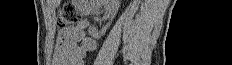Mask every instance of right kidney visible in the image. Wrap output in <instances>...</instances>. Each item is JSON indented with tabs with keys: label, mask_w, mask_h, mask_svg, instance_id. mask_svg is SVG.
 Instances as JSON below:
<instances>
[{
	"label": "right kidney",
	"mask_w": 232,
	"mask_h": 65,
	"mask_svg": "<svg viewBox=\"0 0 232 65\" xmlns=\"http://www.w3.org/2000/svg\"><path fill=\"white\" fill-rule=\"evenodd\" d=\"M101 5L108 6L107 10L110 13L111 21H112L116 15L117 11H118L119 6H120L119 0H101L99 5L91 7V12L93 14H95ZM109 26H110V22L105 27H103V29L100 32L96 31V29L94 27H92L89 29V34L93 38L99 39L102 35L105 34V32L109 28Z\"/></svg>",
	"instance_id": "ca27d5eb"
}]
</instances>
